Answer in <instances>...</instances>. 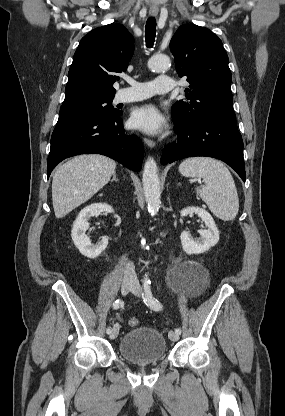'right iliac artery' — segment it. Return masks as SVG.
<instances>
[{
	"mask_svg": "<svg viewBox=\"0 0 285 416\" xmlns=\"http://www.w3.org/2000/svg\"><path fill=\"white\" fill-rule=\"evenodd\" d=\"M124 305V302L121 299H117L114 303H113V308L114 309H118L119 307H122ZM107 334H109L111 332V327H107L106 330Z\"/></svg>",
	"mask_w": 285,
	"mask_h": 416,
	"instance_id": "right-iliac-artery-1",
	"label": "right iliac artery"
}]
</instances>
